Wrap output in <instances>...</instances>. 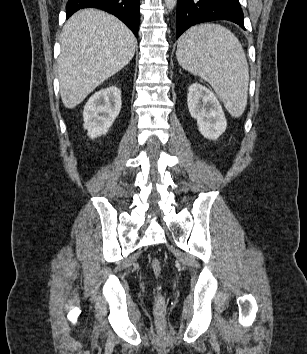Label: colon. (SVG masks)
<instances>
[{"label":"colon","instance_id":"colon-1","mask_svg":"<svg viewBox=\"0 0 307 354\" xmlns=\"http://www.w3.org/2000/svg\"><path fill=\"white\" fill-rule=\"evenodd\" d=\"M151 268H152L154 275L156 277H158L162 272V268H163L162 262L159 259H153L151 261ZM155 308H156L158 318L160 320H162L164 317V312H165V300H164V297L160 293L156 294Z\"/></svg>","mask_w":307,"mask_h":354}]
</instances>
